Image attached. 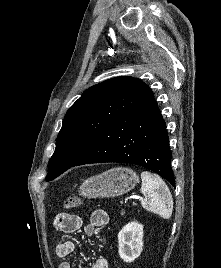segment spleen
<instances>
[{
    "mask_svg": "<svg viewBox=\"0 0 221 268\" xmlns=\"http://www.w3.org/2000/svg\"><path fill=\"white\" fill-rule=\"evenodd\" d=\"M141 179L140 191L145 197L141 201L142 207L164 219H169L173 211V199L166 183L149 171L142 172Z\"/></svg>",
    "mask_w": 221,
    "mask_h": 268,
    "instance_id": "3e777b00",
    "label": "spleen"
}]
</instances>
